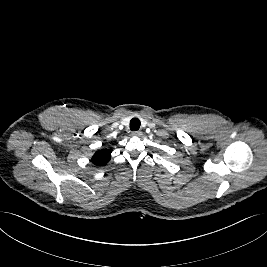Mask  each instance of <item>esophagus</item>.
<instances>
[{
	"mask_svg": "<svg viewBox=\"0 0 267 267\" xmlns=\"http://www.w3.org/2000/svg\"><path fill=\"white\" fill-rule=\"evenodd\" d=\"M131 135L134 136V137H139V136L142 135V132H141V131H133V132L131 133Z\"/></svg>",
	"mask_w": 267,
	"mask_h": 267,
	"instance_id": "1",
	"label": "esophagus"
}]
</instances>
